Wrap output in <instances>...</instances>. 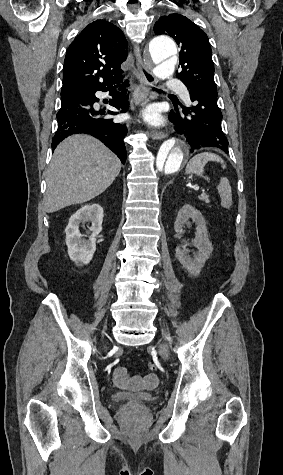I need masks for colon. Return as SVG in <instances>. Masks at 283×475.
<instances>
[{"label": "colon", "mask_w": 283, "mask_h": 475, "mask_svg": "<svg viewBox=\"0 0 283 475\" xmlns=\"http://www.w3.org/2000/svg\"><path fill=\"white\" fill-rule=\"evenodd\" d=\"M148 368L150 371H155L158 368V362L156 360H152L148 364Z\"/></svg>", "instance_id": "obj_1"}]
</instances>
